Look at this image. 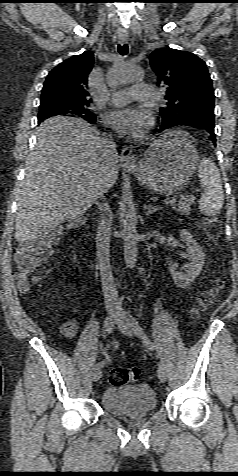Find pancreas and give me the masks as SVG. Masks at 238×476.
<instances>
[{"instance_id": "pancreas-1", "label": "pancreas", "mask_w": 238, "mask_h": 476, "mask_svg": "<svg viewBox=\"0 0 238 476\" xmlns=\"http://www.w3.org/2000/svg\"><path fill=\"white\" fill-rule=\"evenodd\" d=\"M194 202L195 197L193 195H186L181 197L179 202L172 206V209L182 215H189Z\"/></svg>"}]
</instances>
